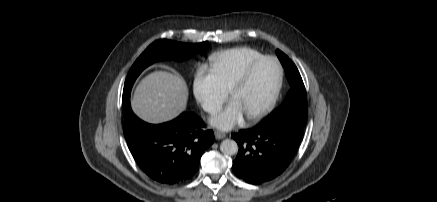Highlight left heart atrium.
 Masks as SVG:
<instances>
[{
  "mask_svg": "<svg viewBox=\"0 0 437 202\" xmlns=\"http://www.w3.org/2000/svg\"><path fill=\"white\" fill-rule=\"evenodd\" d=\"M244 112L238 102L231 100L220 112L215 114L210 122L221 130H230L243 122Z\"/></svg>",
  "mask_w": 437,
  "mask_h": 202,
  "instance_id": "obj_1",
  "label": "left heart atrium"
}]
</instances>
